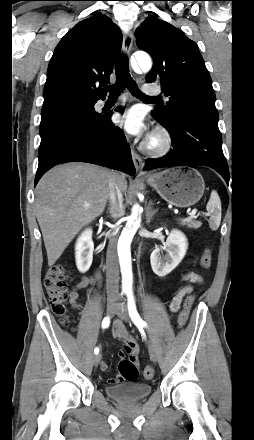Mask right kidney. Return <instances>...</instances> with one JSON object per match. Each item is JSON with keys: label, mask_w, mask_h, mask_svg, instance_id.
Masks as SVG:
<instances>
[{"label": "right kidney", "mask_w": 254, "mask_h": 440, "mask_svg": "<svg viewBox=\"0 0 254 440\" xmlns=\"http://www.w3.org/2000/svg\"><path fill=\"white\" fill-rule=\"evenodd\" d=\"M94 243L92 229H85L77 239L75 246L76 266L81 273L89 270L93 260Z\"/></svg>", "instance_id": "ca27d5eb"}]
</instances>
